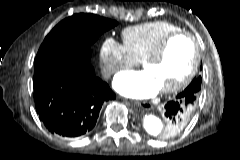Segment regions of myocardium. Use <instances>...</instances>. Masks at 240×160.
<instances>
[{
	"mask_svg": "<svg viewBox=\"0 0 240 160\" xmlns=\"http://www.w3.org/2000/svg\"><path fill=\"white\" fill-rule=\"evenodd\" d=\"M177 37H186L189 39V41L191 42V44L193 46V50H194V60H193L190 70L188 71V73L186 74V76L184 78H182L180 81H178L174 85L160 88V91L163 93L177 92V91L183 89L184 87H186L192 81V79L195 77V75L198 71L200 62H201V51H200V47H199V44H198L196 38L187 31L180 30V31L172 32V33L168 34L167 36H165L160 41V43L156 46V48L149 55H147L145 58H143L140 62L141 66L145 67L146 65H149V64L159 61L163 57L169 43Z\"/></svg>",
	"mask_w": 240,
	"mask_h": 160,
	"instance_id": "1",
	"label": "myocardium"
}]
</instances>
